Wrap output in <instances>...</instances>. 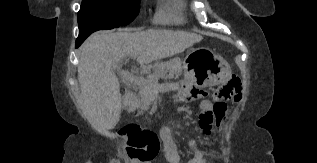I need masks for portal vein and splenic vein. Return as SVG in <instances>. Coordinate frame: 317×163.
<instances>
[{
    "label": "portal vein and splenic vein",
    "mask_w": 317,
    "mask_h": 163,
    "mask_svg": "<svg viewBox=\"0 0 317 163\" xmlns=\"http://www.w3.org/2000/svg\"><path fill=\"white\" fill-rule=\"evenodd\" d=\"M126 61H128V59H126ZM121 67H122L121 63L114 66V68L117 70L119 76L123 80H125L127 83L141 85V84H144L146 82V80L144 78L134 76L133 74H131L127 71L121 70Z\"/></svg>",
    "instance_id": "obj_1"
}]
</instances>
